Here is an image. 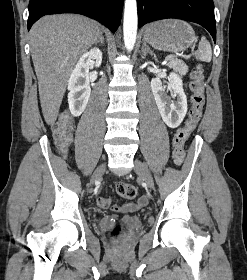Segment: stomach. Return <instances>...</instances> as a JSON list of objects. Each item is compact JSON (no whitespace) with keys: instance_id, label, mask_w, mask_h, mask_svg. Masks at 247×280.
<instances>
[{"instance_id":"stomach-1","label":"stomach","mask_w":247,"mask_h":280,"mask_svg":"<svg viewBox=\"0 0 247 280\" xmlns=\"http://www.w3.org/2000/svg\"><path fill=\"white\" fill-rule=\"evenodd\" d=\"M144 40L157 50L181 52L196 40L192 27L179 19H167L149 24L144 29Z\"/></svg>"}]
</instances>
